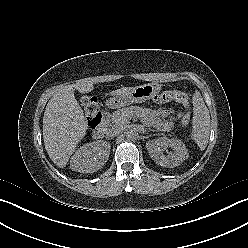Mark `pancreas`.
Masks as SVG:
<instances>
[{
    "label": "pancreas",
    "instance_id": "pancreas-1",
    "mask_svg": "<svg viewBox=\"0 0 248 248\" xmlns=\"http://www.w3.org/2000/svg\"><path fill=\"white\" fill-rule=\"evenodd\" d=\"M134 114L145 117V119L148 121H152L158 130L169 129L173 125L172 122L162 121L159 119V112L153 111L151 109H143L137 106L125 107L114 111L109 116V125L124 127L130 123V120ZM180 117H182L181 113L178 114V118ZM187 123L188 117L184 116L182 118V124L186 125Z\"/></svg>",
    "mask_w": 248,
    "mask_h": 248
}]
</instances>
